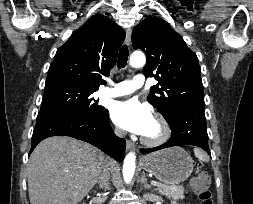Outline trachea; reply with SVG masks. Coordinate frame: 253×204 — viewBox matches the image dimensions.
Masks as SVG:
<instances>
[{"label": "trachea", "mask_w": 253, "mask_h": 204, "mask_svg": "<svg viewBox=\"0 0 253 204\" xmlns=\"http://www.w3.org/2000/svg\"><path fill=\"white\" fill-rule=\"evenodd\" d=\"M128 60V47L126 45H123L119 51L118 55V68H124L127 64Z\"/></svg>", "instance_id": "trachea-1"}]
</instances>
